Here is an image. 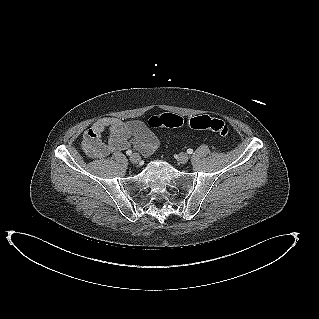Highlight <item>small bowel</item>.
<instances>
[{"mask_svg": "<svg viewBox=\"0 0 319 319\" xmlns=\"http://www.w3.org/2000/svg\"><path fill=\"white\" fill-rule=\"evenodd\" d=\"M109 132L107 141L102 133ZM160 146L159 137L142 121H123L116 117H102L84 133L82 148L92 159H104L110 154L135 148L143 156H150Z\"/></svg>", "mask_w": 319, "mask_h": 319, "instance_id": "1", "label": "small bowel"}]
</instances>
